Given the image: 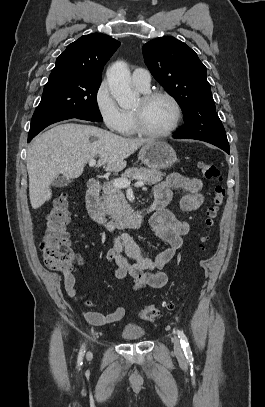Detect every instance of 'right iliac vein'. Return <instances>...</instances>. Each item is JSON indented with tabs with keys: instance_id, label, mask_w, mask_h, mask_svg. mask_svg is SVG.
Listing matches in <instances>:
<instances>
[{
	"instance_id": "obj_1",
	"label": "right iliac vein",
	"mask_w": 265,
	"mask_h": 407,
	"mask_svg": "<svg viewBox=\"0 0 265 407\" xmlns=\"http://www.w3.org/2000/svg\"><path fill=\"white\" fill-rule=\"evenodd\" d=\"M91 354H88V358H90Z\"/></svg>"
}]
</instances>
